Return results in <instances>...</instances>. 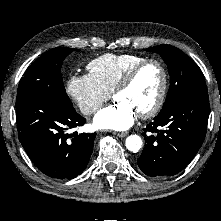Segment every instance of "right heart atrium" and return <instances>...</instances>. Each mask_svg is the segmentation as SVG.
<instances>
[{
	"label": "right heart atrium",
	"instance_id": "d8ad5b80",
	"mask_svg": "<svg viewBox=\"0 0 221 221\" xmlns=\"http://www.w3.org/2000/svg\"><path fill=\"white\" fill-rule=\"evenodd\" d=\"M66 92L86 116L97 112L111 95L90 74L70 75L66 83Z\"/></svg>",
	"mask_w": 221,
	"mask_h": 221
}]
</instances>
